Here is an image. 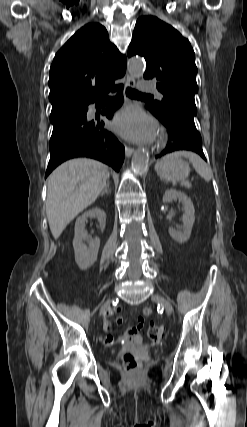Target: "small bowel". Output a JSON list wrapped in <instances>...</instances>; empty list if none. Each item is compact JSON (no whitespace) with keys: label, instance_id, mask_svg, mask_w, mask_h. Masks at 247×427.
I'll return each instance as SVG.
<instances>
[{"label":"small bowel","instance_id":"obj_1","mask_svg":"<svg viewBox=\"0 0 247 427\" xmlns=\"http://www.w3.org/2000/svg\"><path fill=\"white\" fill-rule=\"evenodd\" d=\"M120 311H121L120 308L116 309L117 313H119ZM143 314H144V316H149L151 314V309L145 308L143 311ZM115 321L117 324H122L123 323V317L121 315H117ZM143 324H144V318L139 317L137 324L128 328L127 331L124 334H122L118 339L120 341H124V342H139L142 339L140 331L143 327ZM103 329L106 333H108L106 335V337L104 338V343L107 345L112 344L114 342V338L110 334V331L112 329V325H111V322L109 321V319L107 317H105L103 320Z\"/></svg>","mask_w":247,"mask_h":427}]
</instances>
